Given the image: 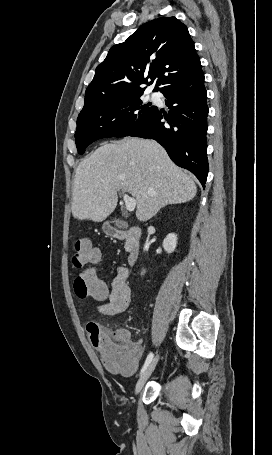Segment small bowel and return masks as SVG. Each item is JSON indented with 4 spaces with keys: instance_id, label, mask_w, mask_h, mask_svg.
Listing matches in <instances>:
<instances>
[{
    "instance_id": "c3829d8e",
    "label": "small bowel",
    "mask_w": 272,
    "mask_h": 455,
    "mask_svg": "<svg viewBox=\"0 0 272 455\" xmlns=\"http://www.w3.org/2000/svg\"><path fill=\"white\" fill-rule=\"evenodd\" d=\"M128 276L129 272L124 267H119L117 274L114 277L109 293L107 295L108 301L99 306V311L108 316H115L123 313L127 310L131 301V291L128 285ZM115 336L126 343L130 342V333L125 329H119L115 332ZM135 351L134 359L130 367L123 372L124 375L133 374L140 363L143 349L140 343H135L132 345Z\"/></svg>"
}]
</instances>
